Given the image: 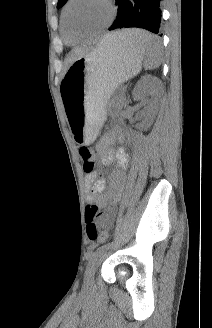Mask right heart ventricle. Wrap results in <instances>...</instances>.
<instances>
[{
  "instance_id": "e07e8e85",
  "label": "right heart ventricle",
  "mask_w": 212,
  "mask_h": 328,
  "mask_svg": "<svg viewBox=\"0 0 212 328\" xmlns=\"http://www.w3.org/2000/svg\"><path fill=\"white\" fill-rule=\"evenodd\" d=\"M61 31L64 38L65 43L69 45H74L78 41V37L73 36L70 32H68L65 28L63 17L61 20Z\"/></svg>"
}]
</instances>
